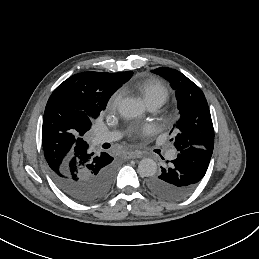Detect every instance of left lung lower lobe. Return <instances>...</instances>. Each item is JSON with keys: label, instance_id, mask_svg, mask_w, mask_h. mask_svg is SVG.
Wrapping results in <instances>:
<instances>
[{"label": "left lung lower lobe", "instance_id": "0a47b994", "mask_svg": "<svg viewBox=\"0 0 259 259\" xmlns=\"http://www.w3.org/2000/svg\"><path fill=\"white\" fill-rule=\"evenodd\" d=\"M178 151L177 158L147 182L148 189L165 200L176 201L191 194L204 177L213 152L194 146Z\"/></svg>", "mask_w": 259, "mask_h": 259}]
</instances>
